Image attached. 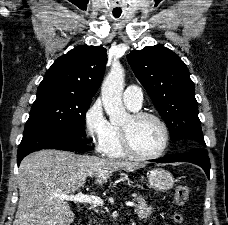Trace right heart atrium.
Segmentation results:
<instances>
[{"mask_svg":"<svg viewBox=\"0 0 228 225\" xmlns=\"http://www.w3.org/2000/svg\"><path fill=\"white\" fill-rule=\"evenodd\" d=\"M83 124L87 136L96 149L109 139L112 124L108 120L100 100L94 101L83 114Z\"/></svg>","mask_w":228,"mask_h":225,"instance_id":"1","label":"right heart atrium"}]
</instances>
